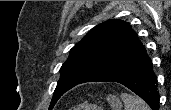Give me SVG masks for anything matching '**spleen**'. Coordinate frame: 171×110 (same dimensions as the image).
Wrapping results in <instances>:
<instances>
[{
    "label": "spleen",
    "mask_w": 171,
    "mask_h": 110,
    "mask_svg": "<svg viewBox=\"0 0 171 110\" xmlns=\"http://www.w3.org/2000/svg\"><path fill=\"white\" fill-rule=\"evenodd\" d=\"M121 99L124 102V110H150L145 101L136 95L122 93Z\"/></svg>",
    "instance_id": "1"
}]
</instances>
